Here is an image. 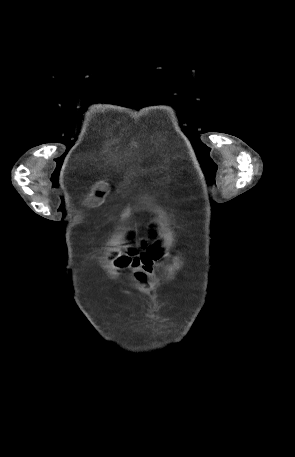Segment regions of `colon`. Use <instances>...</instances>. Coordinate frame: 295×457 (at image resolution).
<instances>
[{"instance_id": "5ec220e1", "label": "colon", "mask_w": 295, "mask_h": 457, "mask_svg": "<svg viewBox=\"0 0 295 457\" xmlns=\"http://www.w3.org/2000/svg\"><path fill=\"white\" fill-rule=\"evenodd\" d=\"M117 264L121 267L128 266L132 264V259L130 257H122L117 261Z\"/></svg>"}]
</instances>
